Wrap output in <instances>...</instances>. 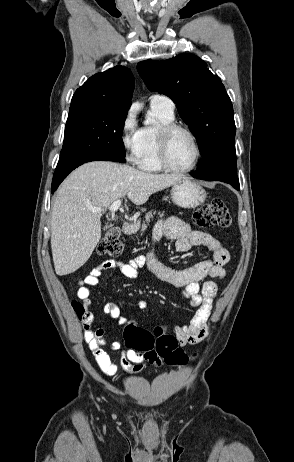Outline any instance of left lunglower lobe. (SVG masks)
Segmentation results:
<instances>
[{"mask_svg":"<svg viewBox=\"0 0 294 462\" xmlns=\"http://www.w3.org/2000/svg\"><path fill=\"white\" fill-rule=\"evenodd\" d=\"M236 167L235 151H226L201 159L197 170L191 175L198 179L223 181L239 190Z\"/></svg>","mask_w":294,"mask_h":462,"instance_id":"0a47b994","label":"left lung lower lobe"}]
</instances>
